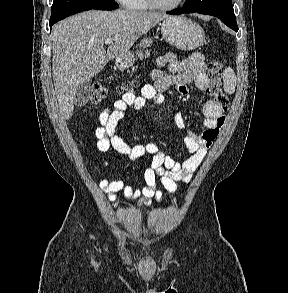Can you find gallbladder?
Here are the masks:
<instances>
[{"label": "gallbladder", "mask_w": 288, "mask_h": 293, "mask_svg": "<svg viewBox=\"0 0 288 293\" xmlns=\"http://www.w3.org/2000/svg\"><path fill=\"white\" fill-rule=\"evenodd\" d=\"M90 92H91V80L84 81L76 90L75 96H74V104L77 107H82L86 105L90 98Z\"/></svg>", "instance_id": "bac80fb5"}]
</instances>
